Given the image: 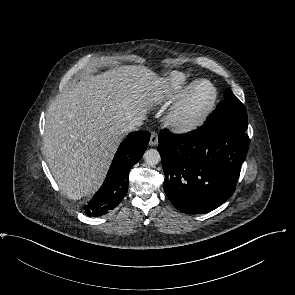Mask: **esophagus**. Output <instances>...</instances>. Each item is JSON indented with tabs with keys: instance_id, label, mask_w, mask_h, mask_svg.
<instances>
[{
	"instance_id": "34e87169",
	"label": "esophagus",
	"mask_w": 295,
	"mask_h": 295,
	"mask_svg": "<svg viewBox=\"0 0 295 295\" xmlns=\"http://www.w3.org/2000/svg\"><path fill=\"white\" fill-rule=\"evenodd\" d=\"M149 145L152 146V147L158 145V134H157V132H152L151 138H150V141H149Z\"/></svg>"
}]
</instances>
